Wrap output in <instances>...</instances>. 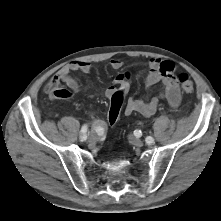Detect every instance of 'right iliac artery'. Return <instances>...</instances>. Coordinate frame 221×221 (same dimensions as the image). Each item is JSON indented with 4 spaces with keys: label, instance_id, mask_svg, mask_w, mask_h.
<instances>
[{
    "label": "right iliac artery",
    "instance_id": "obj_1",
    "mask_svg": "<svg viewBox=\"0 0 221 221\" xmlns=\"http://www.w3.org/2000/svg\"><path fill=\"white\" fill-rule=\"evenodd\" d=\"M87 129H88L87 125L82 126L81 134H80L81 141H85L87 139Z\"/></svg>",
    "mask_w": 221,
    "mask_h": 221
}]
</instances>
